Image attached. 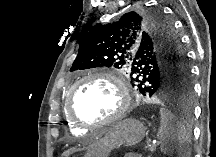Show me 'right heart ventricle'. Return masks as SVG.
<instances>
[{
	"label": "right heart ventricle",
	"mask_w": 216,
	"mask_h": 157,
	"mask_svg": "<svg viewBox=\"0 0 216 157\" xmlns=\"http://www.w3.org/2000/svg\"><path fill=\"white\" fill-rule=\"evenodd\" d=\"M68 124H69V129L71 132L76 133V134H81L84 133V128L81 126H78L74 122L68 119Z\"/></svg>",
	"instance_id": "right-heart-ventricle-1"
}]
</instances>
